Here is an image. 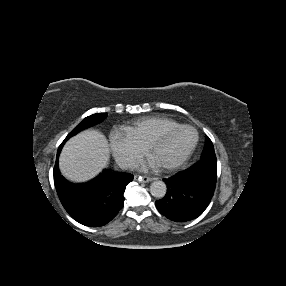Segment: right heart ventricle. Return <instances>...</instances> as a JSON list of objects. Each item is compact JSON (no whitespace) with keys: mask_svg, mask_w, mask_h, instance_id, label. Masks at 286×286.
<instances>
[{"mask_svg":"<svg viewBox=\"0 0 286 286\" xmlns=\"http://www.w3.org/2000/svg\"><path fill=\"white\" fill-rule=\"evenodd\" d=\"M181 124L174 119L163 116L143 117L127 126L126 131L143 147L154 137L179 127Z\"/></svg>","mask_w":286,"mask_h":286,"instance_id":"e07e8e85","label":"right heart ventricle"}]
</instances>
